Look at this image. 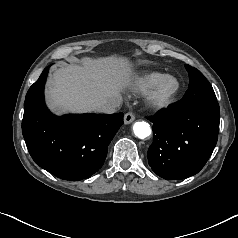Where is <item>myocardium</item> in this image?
Returning <instances> with one entry per match:
<instances>
[{
    "label": "myocardium",
    "mask_w": 238,
    "mask_h": 238,
    "mask_svg": "<svg viewBox=\"0 0 238 238\" xmlns=\"http://www.w3.org/2000/svg\"><path fill=\"white\" fill-rule=\"evenodd\" d=\"M174 82V87L167 93L162 92V85L165 81ZM181 89L180 80L172 74H164L157 79L146 92V104L149 108L160 110L171 106L177 99Z\"/></svg>",
    "instance_id": "obj_1"
}]
</instances>
